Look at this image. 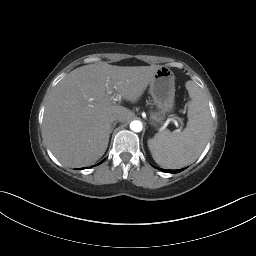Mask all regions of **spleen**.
Instances as JSON below:
<instances>
[{"label":"spleen","mask_w":256,"mask_h":256,"mask_svg":"<svg viewBox=\"0 0 256 256\" xmlns=\"http://www.w3.org/2000/svg\"><path fill=\"white\" fill-rule=\"evenodd\" d=\"M191 101L188 103V122L181 133L168 130L148 140L154 161L168 169H178L193 163L204 150L212 127L208 100L193 81L186 83Z\"/></svg>","instance_id":"spleen-1"}]
</instances>
